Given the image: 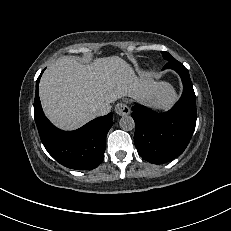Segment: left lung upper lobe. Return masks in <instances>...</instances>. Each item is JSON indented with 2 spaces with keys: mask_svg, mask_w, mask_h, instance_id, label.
<instances>
[{
  "mask_svg": "<svg viewBox=\"0 0 231 231\" xmlns=\"http://www.w3.org/2000/svg\"><path fill=\"white\" fill-rule=\"evenodd\" d=\"M162 54H163L164 59L167 60L168 62L171 60H175V58L172 57L168 52L162 51Z\"/></svg>",
  "mask_w": 231,
  "mask_h": 231,
  "instance_id": "1",
  "label": "left lung upper lobe"
}]
</instances>
